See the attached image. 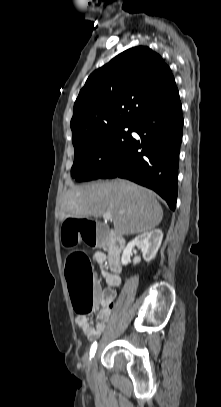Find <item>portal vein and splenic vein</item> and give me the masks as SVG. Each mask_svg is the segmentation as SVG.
<instances>
[{
	"mask_svg": "<svg viewBox=\"0 0 221 407\" xmlns=\"http://www.w3.org/2000/svg\"><path fill=\"white\" fill-rule=\"evenodd\" d=\"M103 219L104 220H112V216H111L110 213H105V214H103Z\"/></svg>",
	"mask_w": 221,
	"mask_h": 407,
	"instance_id": "1",
	"label": "portal vein and splenic vein"
}]
</instances>
